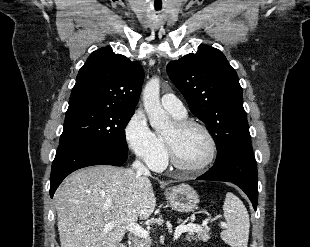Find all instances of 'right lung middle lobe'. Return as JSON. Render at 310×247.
I'll list each match as a JSON object with an SVG mask.
<instances>
[{"label":"right lung middle lobe","mask_w":310,"mask_h":247,"mask_svg":"<svg viewBox=\"0 0 310 247\" xmlns=\"http://www.w3.org/2000/svg\"><path fill=\"white\" fill-rule=\"evenodd\" d=\"M134 112L114 109H68L59 146L81 142L127 152L125 128Z\"/></svg>","instance_id":"obj_1"}]
</instances>
